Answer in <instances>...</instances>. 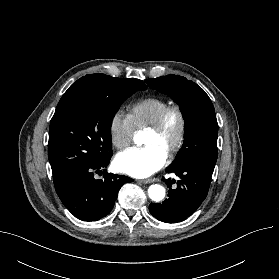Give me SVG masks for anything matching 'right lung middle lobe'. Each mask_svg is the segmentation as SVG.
<instances>
[{"mask_svg": "<svg viewBox=\"0 0 279 279\" xmlns=\"http://www.w3.org/2000/svg\"><path fill=\"white\" fill-rule=\"evenodd\" d=\"M138 90L139 79L90 74L61 97L49 128L48 157L54 181L112 156L111 122L121 103Z\"/></svg>", "mask_w": 279, "mask_h": 279, "instance_id": "dd1d6c3e", "label": "right lung middle lobe"}]
</instances>
